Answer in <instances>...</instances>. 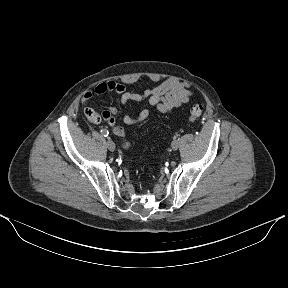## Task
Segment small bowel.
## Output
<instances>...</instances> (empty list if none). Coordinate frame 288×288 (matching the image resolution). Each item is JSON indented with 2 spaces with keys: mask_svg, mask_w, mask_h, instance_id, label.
Returning <instances> with one entry per match:
<instances>
[{
  "mask_svg": "<svg viewBox=\"0 0 288 288\" xmlns=\"http://www.w3.org/2000/svg\"><path fill=\"white\" fill-rule=\"evenodd\" d=\"M107 92L117 94L120 104L124 108L130 102L147 101L148 107L143 108L136 116L124 113L123 122L126 125H135L146 121L150 115V107L156 108L161 113H172L174 109L187 104L193 95L188 83L175 78L167 79L156 87L140 93L128 91L123 83L109 80L99 83L93 90L87 91L83 96V103L86 104L93 95H102ZM118 113L119 110L116 107H104L102 118L109 124L116 136L123 138L127 132L115 118Z\"/></svg>",
  "mask_w": 288,
  "mask_h": 288,
  "instance_id": "obj_1",
  "label": "small bowel"
}]
</instances>
